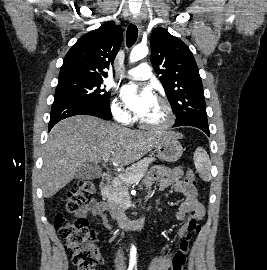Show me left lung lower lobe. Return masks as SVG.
<instances>
[{"instance_id":"obj_1","label":"left lung lower lobe","mask_w":267,"mask_h":270,"mask_svg":"<svg viewBox=\"0 0 267 270\" xmlns=\"http://www.w3.org/2000/svg\"><path fill=\"white\" fill-rule=\"evenodd\" d=\"M177 126H193V127H197L199 129L203 130L208 136H210L208 122H205V121L190 120V121H185V122L178 123V124L175 123L174 127H177Z\"/></svg>"}]
</instances>
